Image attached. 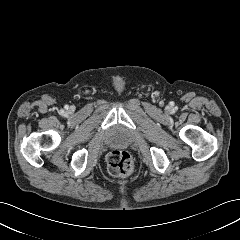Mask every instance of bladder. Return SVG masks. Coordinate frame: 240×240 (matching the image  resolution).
Masks as SVG:
<instances>
[{"mask_svg":"<svg viewBox=\"0 0 240 240\" xmlns=\"http://www.w3.org/2000/svg\"><path fill=\"white\" fill-rule=\"evenodd\" d=\"M110 139L111 143L114 145H125L129 141L128 135L121 129L112 130L110 133Z\"/></svg>","mask_w":240,"mask_h":240,"instance_id":"bladder-1","label":"bladder"}]
</instances>
